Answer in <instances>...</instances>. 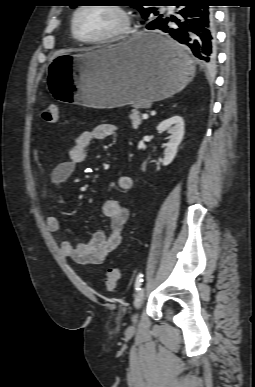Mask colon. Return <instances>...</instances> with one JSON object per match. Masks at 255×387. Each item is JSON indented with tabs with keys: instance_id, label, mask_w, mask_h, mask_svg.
I'll use <instances>...</instances> for the list:
<instances>
[{
	"instance_id": "1",
	"label": "colon",
	"mask_w": 255,
	"mask_h": 387,
	"mask_svg": "<svg viewBox=\"0 0 255 387\" xmlns=\"http://www.w3.org/2000/svg\"><path fill=\"white\" fill-rule=\"evenodd\" d=\"M40 117L45 122L55 123L59 120V108L56 105H49L41 111ZM120 275L121 271L118 267H112L107 270L104 277V286L107 291L112 292L115 290Z\"/></svg>"
}]
</instances>
